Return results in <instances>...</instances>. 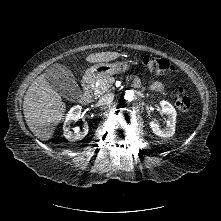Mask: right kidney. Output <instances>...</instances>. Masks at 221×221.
<instances>
[{
	"mask_svg": "<svg viewBox=\"0 0 221 221\" xmlns=\"http://www.w3.org/2000/svg\"><path fill=\"white\" fill-rule=\"evenodd\" d=\"M81 110L82 107L77 105L72 107L65 119L64 125H63V130H64V136L70 141V142H75L78 140L83 139L87 133H88V126L86 125L83 129V131H80L79 129H75V133L73 134L70 130L71 124L73 121H77L78 118L81 115Z\"/></svg>",
	"mask_w": 221,
	"mask_h": 221,
	"instance_id": "obj_1",
	"label": "right kidney"
}]
</instances>
